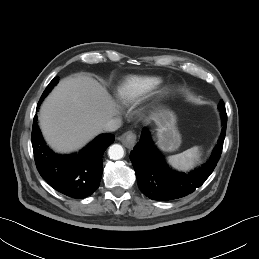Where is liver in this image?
<instances>
[{"label":"liver","instance_id":"liver-1","mask_svg":"<svg viewBox=\"0 0 259 259\" xmlns=\"http://www.w3.org/2000/svg\"><path fill=\"white\" fill-rule=\"evenodd\" d=\"M119 114L106 88L95 79L77 74L64 78L40 109V127L47 143L59 153L83 147Z\"/></svg>","mask_w":259,"mask_h":259}]
</instances>
